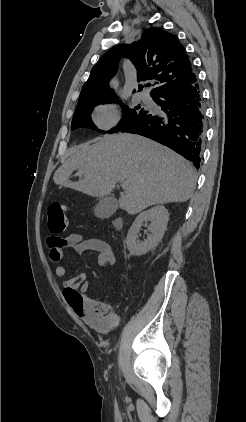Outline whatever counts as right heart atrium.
Instances as JSON below:
<instances>
[{"mask_svg": "<svg viewBox=\"0 0 246 422\" xmlns=\"http://www.w3.org/2000/svg\"><path fill=\"white\" fill-rule=\"evenodd\" d=\"M121 117L117 104L106 102L99 104L93 112L95 125L102 130H109L117 125Z\"/></svg>", "mask_w": 246, "mask_h": 422, "instance_id": "d8ad5b80", "label": "right heart atrium"}]
</instances>
